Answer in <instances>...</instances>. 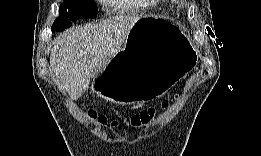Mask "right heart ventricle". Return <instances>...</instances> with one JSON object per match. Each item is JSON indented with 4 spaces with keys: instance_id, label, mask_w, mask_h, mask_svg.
Segmentation results:
<instances>
[{
    "instance_id": "e07e8e85",
    "label": "right heart ventricle",
    "mask_w": 261,
    "mask_h": 156,
    "mask_svg": "<svg viewBox=\"0 0 261 156\" xmlns=\"http://www.w3.org/2000/svg\"><path fill=\"white\" fill-rule=\"evenodd\" d=\"M135 1L137 0H110L107 1V4L123 9Z\"/></svg>"
}]
</instances>
